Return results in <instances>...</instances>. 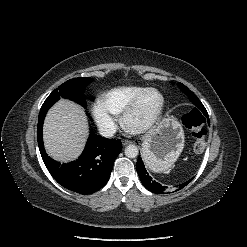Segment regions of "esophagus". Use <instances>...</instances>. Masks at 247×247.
Wrapping results in <instances>:
<instances>
[{"label":"esophagus","mask_w":247,"mask_h":247,"mask_svg":"<svg viewBox=\"0 0 247 247\" xmlns=\"http://www.w3.org/2000/svg\"><path fill=\"white\" fill-rule=\"evenodd\" d=\"M130 143H131V141H129V140H123L122 141L123 146H126V145H128Z\"/></svg>","instance_id":"1"}]
</instances>
